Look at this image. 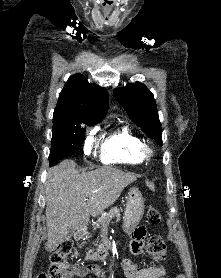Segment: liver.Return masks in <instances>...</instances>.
Listing matches in <instances>:
<instances>
[{
  "mask_svg": "<svg viewBox=\"0 0 221 278\" xmlns=\"http://www.w3.org/2000/svg\"><path fill=\"white\" fill-rule=\"evenodd\" d=\"M72 160L48 171L46 193L47 250L52 251L70 231L86 229L90 215L113 205L134 174L112 167L80 173Z\"/></svg>",
  "mask_w": 221,
  "mask_h": 278,
  "instance_id": "obj_1",
  "label": "liver"
}]
</instances>
